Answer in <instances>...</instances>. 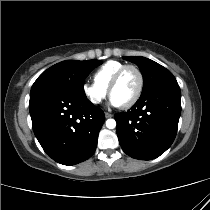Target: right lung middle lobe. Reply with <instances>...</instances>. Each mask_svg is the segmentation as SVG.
I'll use <instances>...</instances> for the list:
<instances>
[{"label": "right lung middle lobe", "mask_w": 210, "mask_h": 210, "mask_svg": "<svg viewBox=\"0 0 210 210\" xmlns=\"http://www.w3.org/2000/svg\"><path fill=\"white\" fill-rule=\"evenodd\" d=\"M101 64L102 61L99 60H68L57 63L37 78L31 88L30 95L58 90L86 96L83 87L84 80L94 68Z\"/></svg>", "instance_id": "1"}]
</instances>
